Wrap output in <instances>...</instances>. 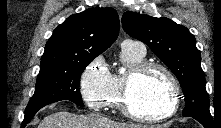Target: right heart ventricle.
I'll return each mask as SVG.
<instances>
[{"label": "right heart ventricle", "mask_w": 221, "mask_h": 128, "mask_svg": "<svg viewBox=\"0 0 221 128\" xmlns=\"http://www.w3.org/2000/svg\"><path fill=\"white\" fill-rule=\"evenodd\" d=\"M145 54H141L131 47L122 46L120 60L129 70L144 62ZM125 75L117 72L111 73V88L104 98V108L106 110H120L121 91Z\"/></svg>", "instance_id": "e07e8e85"}]
</instances>
